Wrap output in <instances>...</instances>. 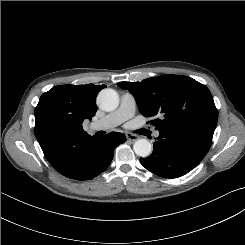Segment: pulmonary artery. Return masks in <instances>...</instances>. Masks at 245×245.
<instances>
[{"mask_svg":"<svg viewBox=\"0 0 245 245\" xmlns=\"http://www.w3.org/2000/svg\"><path fill=\"white\" fill-rule=\"evenodd\" d=\"M136 110V102L134 97L125 93L121 97L120 106L113 112L107 114L103 118L94 121L91 124V129L93 130H107L114 128L129 118L133 117ZM158 135V133H157Z\"/></svg>","mask_w":245,"mask_h":245,"instance_id":"pulmonary-artery-1","label":"pulmonary artery"}]
</instances>
